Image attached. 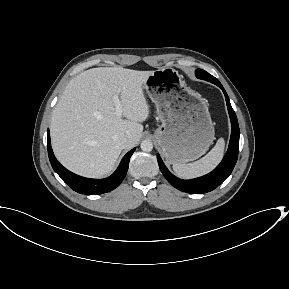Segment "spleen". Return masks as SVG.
Wrapping results in <instances>:
<instances>
[{
    "instance_id": "spleen-1",
    "label": "spleen",
    "mask_w": 289,
    "mask_h": 289,
    "mask_svg": "<svg viewBox=\"0 0 289 289\" xmlns=\"http://www.w3.org/2000/svg\"><path fill=\"white\" fill-rule=\"evenodd\" d=\"M224 145V139H218L212 150L200 160L189 164H173L174 172L176 175L184 179H191L207 174L213 170L222 159L224 153Z\"/></svg>"
}]
</instances>
